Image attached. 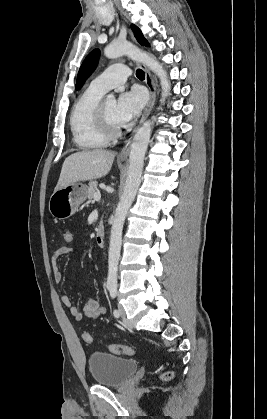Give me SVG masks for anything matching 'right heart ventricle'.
<instances>
[{
	"label": "right heart ventricle",
	"mask_w": 267,
	"mask_h": 419,
	"mask_svg": "<svg viewBox=\"0 0 267 419\" xmlns=\"http://www.w3.org/2000/svg\"><path fill=\"white\" fill-rule=\"evenodd\" d=\"M104 93L88 87L76 100L70 114V128L75 144L82 150L104 147L108 139L100 132L96 111Z\"/></svg>",
	"instance_id": "right-heart-ventricle-1"
}]
</instances>
